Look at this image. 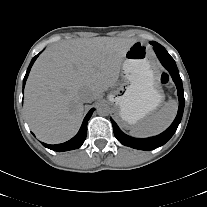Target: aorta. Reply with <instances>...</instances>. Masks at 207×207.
Instances as JSON below:
<instances>
[{
    "label": "aorta",
    "instance_id": "762f6f07",
    "mask_svg": "<svg viewBox=\"0 0 207 207\" xmlns=\"http://www.w3.org/2000/svg\"><path fill=\"white\" fill-rule=\"evenodd\" d=\"M96 111L99 115L101 116H108L111 112V108L108 104L106 103H100L97 108Z\"/></svg>",
    "mask_w": 207,
    "mask_h": 207
}]
</instances>
